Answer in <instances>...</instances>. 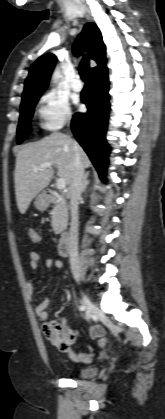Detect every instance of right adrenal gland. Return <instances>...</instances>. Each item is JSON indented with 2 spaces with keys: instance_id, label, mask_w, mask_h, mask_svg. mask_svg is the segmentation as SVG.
Here are the masks:
<instances>
[{
  "instance_id": "1",
  "label": "right adrenal gland",
  "mask_w": 165,
  "mask_h": 419,
  "mask_svg": "<svg viewBox=\"0 0 165 419\" xmlns=\"http://www.w3.org/2000/svg\"><path fill=\"white\" fill-rule=\"evenodd\" d=\"M89 171L85 173L84 175V184H83V192L86 190L87 185L90 183V181L88 180V176H89Z\"/></svg>"
}]
</instances>
